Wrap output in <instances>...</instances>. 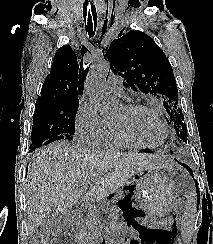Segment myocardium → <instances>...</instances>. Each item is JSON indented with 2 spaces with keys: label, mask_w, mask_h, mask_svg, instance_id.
I'll return each instance as SVG.
<instances>
[{
  "label": "myocardium",
  "mask_w": 213,
  "mask_h": 244,
  "mask_svg": "<svg viewBox=\"0 0 213 244\" xmlns=\"http://www.w3.org/2000/svg\"><path fill=\"white\" fill-rule=\"evenodd\" d=\"M124 107L130 111L145 110V111H148L151 114H153L163 129V137H162L161 141L155 145L144 144V143L138 142V141L132 139L131 137H129L120 127H118L115 123L112 122L114 132H115L116 136L122 142H124L125 144H127L131 147L141 148V149H155V148H158L161 145H163V143L165 142L167 135H168V128H167V125L165 124V122L163 121L161 115L155 109H153L152 107H150L148 105H144V104H140V103L126 104V105H124Z\"/></svg>",
  "instance_id": "f54148a6"
}]
</instances>
